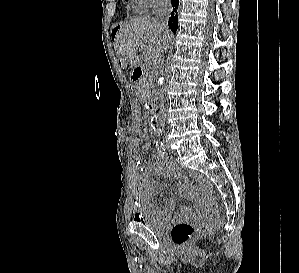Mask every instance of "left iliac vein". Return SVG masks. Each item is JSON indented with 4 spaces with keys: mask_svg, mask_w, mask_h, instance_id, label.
<instances>
[{
    "mask_svg": "<svg viewBox=\"0 0 299 273\" xmlns=\"http://www.w3.org/2000/svg\"><path fill=\"white\" fill-rule=\"evenodd\" d=\"M166 148H167V150L169 151V152H172V150H171V148H170V145L167 143L166 144Z\"/></svg>",
    "mask_w": 299,
    "mask_h": 273,
    "instance_id": "4c4485c4",
    "label": "left iliac vein"
}]
</instances>
